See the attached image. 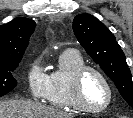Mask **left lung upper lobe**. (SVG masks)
I'll return each instance as SVG.
<instances>
[{"label": "left lung upper lobe", "instance_id": "1", "mask_svg": "<svg viewBox=\"0 0 133 118\" xmlns=\"http://www.w3.org/2000/svg\"><path fill=\"white\" fill-rule=\"evenodd\" d=\"M73 31L85 51L115 83L125 101L133 107V82L126 58L114 35L90 14L73 20Z\"/></svg>", "mask_w": 133, "mask_h": 118}]
</instances>
